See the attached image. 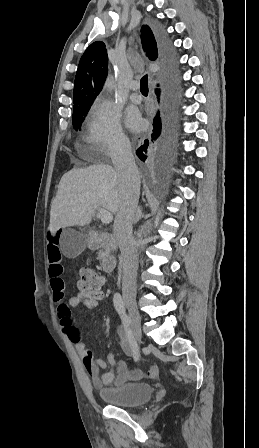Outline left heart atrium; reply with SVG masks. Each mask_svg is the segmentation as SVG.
I'll use <instances>...</instances> for the list:
<instances>
[{"mask_svg": "<svg viewBox=\"0 0 259 448\" xmlns=\"http://www.w3.org/2000/svg\"><path fill=\"white\" fill-rule=\"evenodd\" d=\"M125 123L132 130L140 129L143 126L139 113L132 109L126 112Z\"/></svg>", "mask_w": 259, "mask_h": 448, "instance_id": "39dd6f15", "label": "left heart atrium"}]
</instances>
